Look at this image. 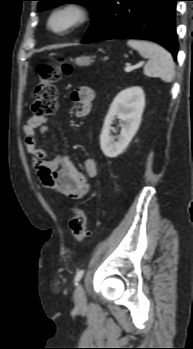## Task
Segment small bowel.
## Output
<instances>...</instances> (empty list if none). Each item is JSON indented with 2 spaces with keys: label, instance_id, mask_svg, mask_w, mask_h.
<instances>
[{
  "label": "small bowel",
  "instance_id": "1",
  "mask_svg": "<svg viewBox=\"0 0 193 349\" xmlns=\"http://www.w3.org/2000/svg\"><path fill=\"white\" fill-rule=\"evenodd\" d=\"M94 98L95 93L90 87L82 86L73 91L71 99L76 104L75 116L87 117ZM48 121L47 117L32 116L23 126L25 148L32 155L33 169L45 189L71 199H81L90 191L88 178L97 175V162L93 157H87L83 164V173L66 154L49 158L48 152L38 147L36 138L37 129L41 134L48 131Z\"/></svg>",
  "mask_w": 193,
  "mask_h": 349
}]
</instances>
